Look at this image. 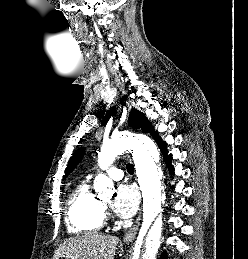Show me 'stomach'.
Instances as JSON below:
<instances>
[{
  "label": "stomach",
  "instance_id": "stomach-1",
  "mask_svg": "<svg viewBox=\"0 0 248 259\" xmlns=\"http://www.w3.org/2000/svg\"><path fill=\"white\" fill-rule=\"evenodd\" d=\"M58 259H71V258H66V257L61 256Z\"/></svg>",
  "mask_w": 248,
  "mask_h": 259
}]
</instances>
